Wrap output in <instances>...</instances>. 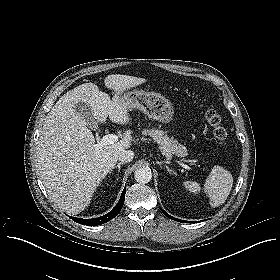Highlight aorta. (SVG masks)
I'll list each match as a JSON object with an SVG mask.
<instances>
[{
	"instance_id": "obj_1",
	"label": "aorta",
	"mask_w": 280,
	"mask_h": 280,
	"mask_svg": "<svg viewBox=\"0 0 280 280\" xmlns=\"http://www.w3.org/2000/svg\"><path fill=\"white\" fill-rule=\"evenodd\" d=\"M134 178L136 182L140 184H146L152 179L151 169L148 167L138 168L134 173Z\"/></svg>"
}]
</instances>
